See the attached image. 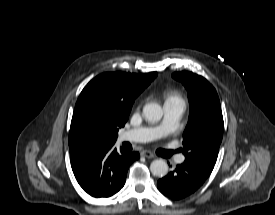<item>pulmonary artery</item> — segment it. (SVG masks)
<instances>
[{
    "instance_id": "e3ab8cb5",
    "label": "pulmonary artery",
    "mask_w": 275,
    "mask_h": 215,
    "mask_svg": "<svg viewBox=\"0 0 275 215\" xmlns=\"http://www.w3.org/2000/svg\"><path fill=\"white\" fill-rule=\"evenodd\" d=\"M185 110L183 101H173L164 104L165 117L163 122L157 127H140L124 131L120 138L130 142H148L162 136L170 134L176 127L179 119ZM177 161L182 163L184 156L177 157Z\"/></svg>"
}]
</instances>
